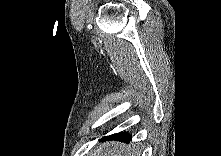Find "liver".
<instances>
[{
	"instance_id": "obj_1",
	"label": "liver",
	"mask_w": 221,
	"mask_h": 156,
	"mask_svg": "<svg viewBox=\"0 0 221 156\" xmlns=\"http://www.w3.org/2000/svg\"><path fill=\"white\" fill-rule=\"evenodd\" d=\"M137 154L135 146L111 141L98 145L91 156H137Z\"/></svg>"
}]
</instances>
